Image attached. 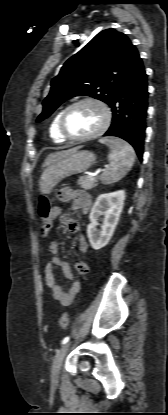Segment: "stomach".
<instances>
[{
  "mask_svg": "<svg viewBox=\"0 0 168 415\" xmlns=\"http://www.w3.org/2000/svg\"><path fill=\"white\" fill-rule=\"evenodd\" d=\"M96 162V155L88 150L71 149L66 155L52 163L41 175V193L50 194L64 178L85 172Z\"/></svg>",
  "mask_w": 168,
  "mask_h": 415,
  "instance_id": "1",
  "label": "stomach"
}]
</instances>
